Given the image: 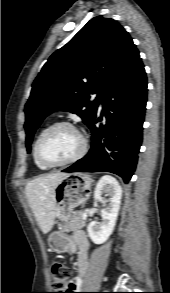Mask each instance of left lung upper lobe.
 I'll list each match as a JSON object with an SVG mask.
<instances>
[{"label": "left lung upper lobe", "mask_w": 170, "mask_h": 293, "mask_svg": "<svg viewBox=\"0 0 170 293\" xmlns=\"http://www.w3.org/2000/svg\"><path fill=\"white\" fill-rule=\"evenodd\" d=\"M134 46L118 22L97 16L53 53L35 79L25 105L27 151L36 129L51 112L77 114L89 125L107 83ZM95 93L97 97L90 100Z\"/></svg>", "instance_id": "5c2ea615"}]
</instances>
